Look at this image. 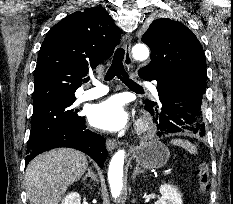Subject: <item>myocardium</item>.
<instances>
[{
  "label": "myocardium",
  "instance_id": "obj_1",
  "mask_svg": "<svg viewBox=\"0 0 233 204\" xmlns=\"http://www.w3.org/2000/svg\"><path fill=\"white\" fill-rule=\"evenodd\" d=\"M148 127V122L146 120H141L138 124V130L143 131Z\"/></svg>",
  "mask_w": 233,
  "mask_h": 204
}]
</instances>
